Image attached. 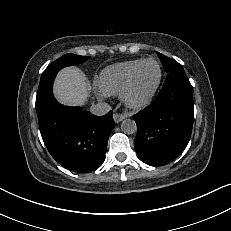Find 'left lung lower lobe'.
Instances as JSON below:
<instances>
[{"label":"left lung lower lobe","instance_id":"0a47b994","mask_svg":"<svg viewBox=\"0 0 231 231\" xmlns=\"http://www.w3.org/2000/svg\"><path fill=\"white\" fill-rule=\"evenodd\" d=\"M193 90L182 67L168 72L157 98L134 115L135 150L151 166H163L185 149L193 126Z\"/></svg>","mask_w":231,"mask_h":231}]
</instances>
